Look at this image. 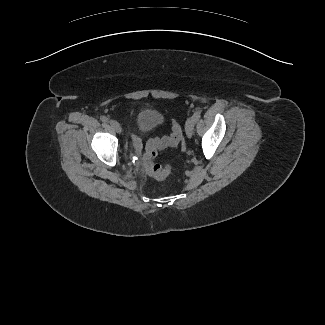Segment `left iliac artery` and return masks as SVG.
<instances>
[{"instance_id": "obj_1", "label": "left iliac artery", "mask_w": 325, "mask_h": 325, "mask_svg": "<svg viewBox=\"0 0 325 325\" xmlns=\"http://www.w3.org/2000/svg\"><path fill=\"white\" fill-rule=\"evenodd\" d=\"M200 114H201V113H200V111H198V110H196V111L194 112V114H193V116H192L194 122H196V121L199 120V118H200Z\"/></svg>"}]
</instances>
